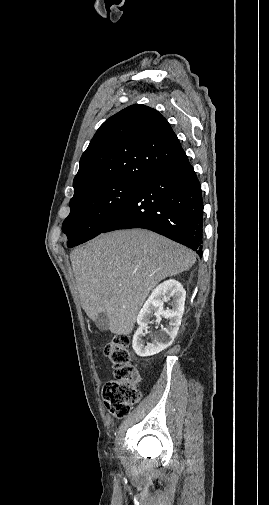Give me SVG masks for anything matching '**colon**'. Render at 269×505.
I'll list each match as a JSON object with an SVG mask.
<instances>
[{
    "label": "colon",
    "mask_w": 269,
    "mask_h": 505,
    "mask_svg": "<svg viewBox=\"0 0 269 505\" xmlns=\"http://www.w3.org/2000/svg\"><path fill=\"white\" fill-rule=\"evenodd\" d=\"M130 339L127 335H116L104 348L105 356L112 364L113 378L102 389L106 408L117 417H125L139 402L140 374L131 361Z\"/></svg>",
    "instance_id": "obj_1"
}]
</instances>
